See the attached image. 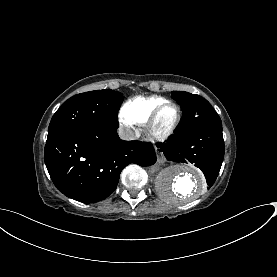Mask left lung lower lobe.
Returning a JSON list of instances; mask_svg holds the SVG:
<instances>
[{"instance_id": "0a47b994", "label": "left lung lower lobe", "mask_w": 277, "mask_h": 277, "mask_svg": "<svg viewBox=\"0 0 277 277\" xmlns=\"http://www.w3.org/2000/svg\"><path fill=\"white\" fill-rule=\"evenodd\" d=\"M167 160L193 163L205 175L209 188L214 184L224 158L222 125H209L178 132L167 142L158 143Z\"/></svg>"}]
</instances>
